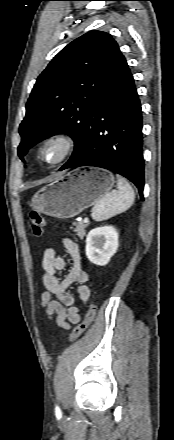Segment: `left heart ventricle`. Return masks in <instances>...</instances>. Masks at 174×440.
I'll return each mask as SVG.
<instances>
[{
	"label": "left heart ventricle",
	"mask_w": 174,
	"mask_h": 440,
	"mask_svg": "<svg viewBox=\"0 0 174 440\" xmlns=\"http://www.w3.org/2000/svg\"><path fill=\"white\" fill-rule=\"evenodd\" d=\"M60 154V147L58 145H49L45 152H44V157L47 161H54L58 158Z\"/></svg>",
	"instance_id": "left-heart-ventricle-1"
}]
</instances>
